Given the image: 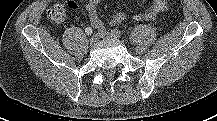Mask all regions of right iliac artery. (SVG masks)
<instances>
[{"label": "right iliac artery", "instance_id": "right-iliac-artery-1", "mask_svg": "<svg viewBox=\"0 0 217 121\" xmlns=\"http://www.w3.org/2000/svg\"><path fill=\"white\" fill-rule=\"evenodd\" d=\"M105 31H106L105 28L102 27V28L98 29V34L101 35V34H103Z\"/></svg>", "mask_w": 217, "mask_h": 121}]
</instances>
